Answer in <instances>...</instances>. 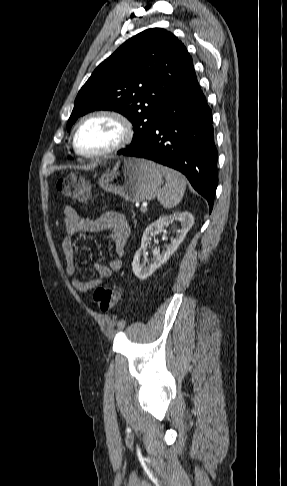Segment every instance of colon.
<instances>
[{
    "label": "colon",
    "instance_id": "1",
    "mask_svg": "<svg viewBox=\"0 0 287 486\" xmlns=\"http://www.w3.org/2000/svg\"><path fill=\"white\" fill-rule=\"evenodd\" d=\"M56 189L63 196L79 201H86L91 193L89 181L77 174L58 179ZM93 298L102 312H108L118 304L120 293L110 287H99L94 291Z\"/></svg>",
    "mask_w": 287,
    "mask_h": 486
}]
</instances>
